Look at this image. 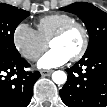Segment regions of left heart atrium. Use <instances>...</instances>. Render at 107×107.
Returning <instances> with one entry per match:
<instances>
[{"instance_id": "1", "label": "left heart atrium", "mask_w": 107, "mask_h": 107, "mask_svg": "<svg viewBox=\"0 0 107 107\" xmlns=\"http://www.w3.org/2000/svg\"><path fill=\"white\" fill-rule=\"evenodd\" d=\"M70 57L59 49H51L45 53L38 61L37 65L41 69H51L68 62Z\"/></svg>"}]
</instances>
